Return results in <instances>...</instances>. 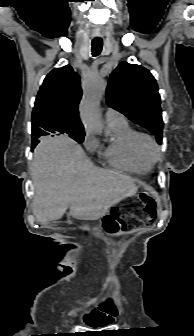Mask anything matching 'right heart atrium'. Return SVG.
Wrapping results in <instances>:
<instances>
[{"instance_id": "right-heart-atrium-1", "label": "right heart atrium", "mask_w": 194, "mask_h": 336, "mask_svg": "<svg viewBox=\"0 0 194 336\" xmlns=\"http://www.w3.org/2000/svg\"><path fill=\"white\" fill-rule=\"evenodd\" d=\"M84 143L88 149L92 150L96 147L97 142L94 136L90 132L86 131L84 135Z\"/></svg>"}]
</instances>
